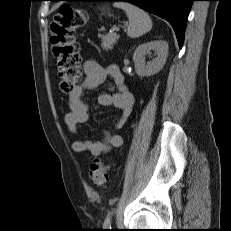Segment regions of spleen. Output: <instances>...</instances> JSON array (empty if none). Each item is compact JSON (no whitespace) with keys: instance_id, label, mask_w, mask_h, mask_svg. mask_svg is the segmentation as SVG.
<instances>
[{"instance_id":"1","label":"spleen","mask_w":231,"mask_h":231,"mask_svg":"<svg viewBox=\"0 0 231 231\" xmlns=\"http://www.w3.org/2000/svg\"><path fill=\"white\" fill-rule=\"evenodd\" d=\"M113 5L125 11L129 19V26L127 28V35L129 37L138 38L151 30L152 20L144 10L127 2H115Z\"/></svg>"}]
</instances>
